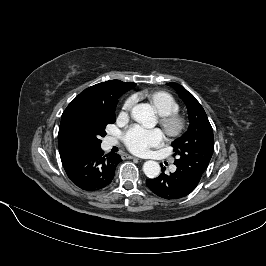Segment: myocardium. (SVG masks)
<instances>
[{
	"mask_svg": "<svg viewBox=\"0 0 266 266\" xmlns=\"http://www.w3.org/2000/svg\"><path fill=\"white\" fill-rule=\"evenodd\" d=\"M160 123L165 132L171 137L180 136L187 127L186 118L178 113L162 116Z\"/></svg>",
	"mask_w": 266,
	"mask_h": 266,
	"instance_id": "1",
	"label": "myocardium"
}]
</instances>
